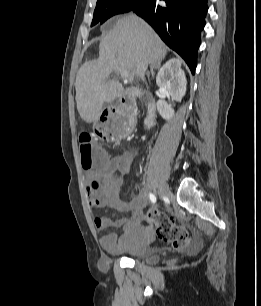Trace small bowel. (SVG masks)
Wrapping results in <instances>:
<instances>
[{"label": "small bowel", "instance_id": "c3829d8e", "mask_svg": "<svg viewBox=\"0 0 261 306\" xmlns=\"http://www.w3.org/2000/svg\"><path fill=\"white\" fill-rule=\"evenodd\" d=\"M97 151H102L98 148ZM99 157V156H98ZM133 154L124 152L114 157L104 156L100 162V169L97 176L99 182V191L89 192V207L98 209L110 207L119 212L130 213L129 217H96L94 219L95 227L98 230H104L108 227L121 229V234L107 233L100 237L101 247L110 254H121L133 251L141 242L145 240L140 233L143 230V210L147 205V197L141 190L136 188V195L129 201L120 198V191L125 183V177L132 164ZM181 230H184L181 228ZM150 231L145 232V236Z\"/></svg>", "mask_w": 261, "mask_h": 306}]
</instances>
